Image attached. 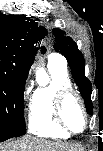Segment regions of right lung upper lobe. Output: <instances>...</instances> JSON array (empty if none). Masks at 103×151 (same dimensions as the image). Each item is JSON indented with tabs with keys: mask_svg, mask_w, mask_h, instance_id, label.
I'll use <instances>...</instances> for the list:
<instances>
[{
	"mask_svg": "<svg viewBox=\"0 0 103 151\" xmlns=\"http://www.w3.org/2000/svg\"><path fill=\"white\" fill-rule=\"evenodd\" d=\"M44 27L25 15L0 14V71L27 78L34 58V43L46 35ZM45 49H42L44 52Z\"/></svg>",
	"mask_w": 103,
	"mask_h": 151,
	"instance_id": "cb5924a9",
	"label": "right lung upper lobe"
}]
</instances>
